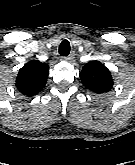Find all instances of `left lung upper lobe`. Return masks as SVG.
<instances>
[{
    "label": "left lung upper lobe",
    "mask_w": 135,
    "mask_h": 165,
    "mask_svg": "<svg viewBox=\"0 0 135 165\" xmlns=\"http://www.w3.org/2000/svg\"><path fill=\"white\" fill-rule=\"evenodd\" d=\"M80 78L83 85L95 93L108 92L114 84L110 71L99 61L85 64Z\"/></svg>",
    "instance_id": "obj_1"
}]
</instances>
